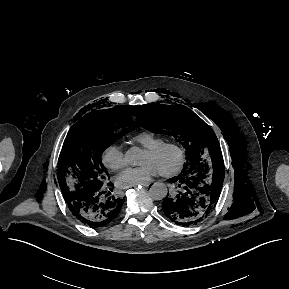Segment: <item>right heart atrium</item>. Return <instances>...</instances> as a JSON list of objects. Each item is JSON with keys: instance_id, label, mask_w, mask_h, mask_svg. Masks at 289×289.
<instances>
[{"instance_id": "d8ad5b80", "label": "right heart atrium", "mask_w": 289, "mask_h": 289, "mask_svg": "<svg viewBox=\"0 0 289 289\" xmlns=\"http://www.w3.org/2000/svg\"><path fill=\"white\" fill-rule=\"evenodd\" d=\"M101 161L107 168L118 170L122 168L126 161L121 146L117 143L108 145L101 154Z\"/></svg>"}]
</instances>
